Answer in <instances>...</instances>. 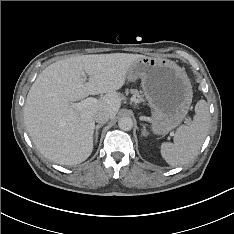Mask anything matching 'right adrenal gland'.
<instances>
[{"mask_svg":"<svg viewBox=\"0 0 234 234\" xmlns=\"http://www.w3.org/2000/svg\"><path fill=\"white\" fill-rule=\"evenodd\" d=\"M103 125L102 124H100V125H96V127H95V143H97V141H98V130L102 127Z\"/></svg>","mask_w":234,"mask_h":234,"instance_id":"1","label":"right adrenal gland"}]
</instances>
